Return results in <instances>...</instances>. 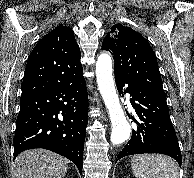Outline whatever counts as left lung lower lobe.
<instances>
[{
	"label": "left lung lower lobe",
	"mask_w": 194,
	"mask_h": 178,
	"mask_svg": "<svg viewBox=\"0 0 194 178\" xmlns=\"http://www.w3.org/2000/svg\"><path fill=\"white\" fill-rule=\"evenodd\" d=\"M115 82L120 94L123 93L122 88L128 85L124 93L132 96L130 102L138 116L137 120L132 117L137 127L116 160L133 154L159 153L181 164L182 156L164 90L147 88L120 78H115Z\"/></svg>",
	"instance_id": "left-lung-lower-lobe-1"
}]
</instances>
